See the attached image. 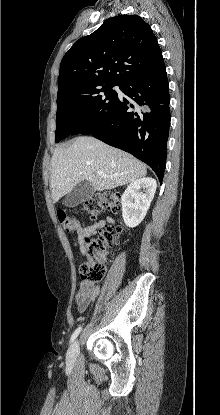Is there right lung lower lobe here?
<instances>
[{"instance_id":"right-lung-lower-lobe-1","label":"right lung lower lobe","mask_w":220,"mask_h":415,"mask_svg":"<svg viewBox=\"0 0 220 415\" xmlns=\"http://www.w3.org/2000/svg\"><path fill=\"white\" fill-rule=\"evenodd\" d=\"M120 89L130 100L118 97L107 120L90 134L148 164L161 183L170 125L165 64L124 81Z\"/></svg>"}]
</instances>
